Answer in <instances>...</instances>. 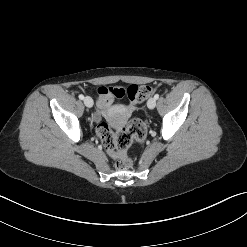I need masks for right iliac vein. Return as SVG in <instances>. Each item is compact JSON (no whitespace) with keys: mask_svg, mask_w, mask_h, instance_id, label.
<instances>
[{"mask_svg":"<svg viewBox=\"0 0 247 247\" xmlns=\"http://www.w3.org/2000/svg\"><path fill=\"white\" fill-rule=\"evenodd\" d=\"M84 104H85V106L91 108L93 106V100H92V98L89 97V96H86L84 98Z\"/></svg>","mask_w":247,"mask_h":247,"instance_id":"right-iliac-vein-1","label":"right iliac vein"}]
</instances>
